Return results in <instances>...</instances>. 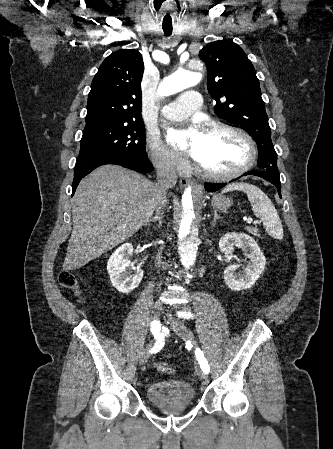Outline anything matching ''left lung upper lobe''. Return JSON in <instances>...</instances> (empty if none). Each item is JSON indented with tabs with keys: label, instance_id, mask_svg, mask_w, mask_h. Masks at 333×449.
Listing matches in <instances>:
<instances>
[{
	"label": "left lung upper lobe",
	"instance_id": "5c2ea615",
	"mask_svg": "<svg viewBox=\"0 0 333 449\" xmlns=\"http://www.w3.org/2000/svg\"><path fill=\"white\" fill-rule=\"evenodd\" d=\"M215 113L245 129L258 146V169L279 175L271 128L256 71L242 48L230 41L207 44L200 52Z\"/></svg>",
	"mask_w": 333,
	"mask_h": 449
}]
</instances>
